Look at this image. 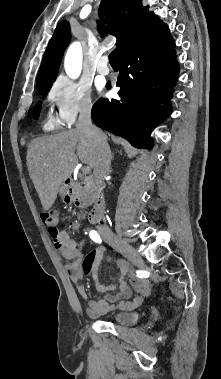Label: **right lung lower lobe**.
<instances>
[{
  "mask_svg": "<svg viewBox=\"0 0 221 379\" xmlns=\"http://www.w3.org/2000/svg\"><path fill=\"white\" fill-rule=\"evenodd\" d=\"M169 29L160 23L119 55L120 99H99L96 126L121 135L134 147L151 149V129L170 114L179 65ZM110 88V86H107ZM169 108H168V107Z\"/></svg>",
  "mask_w": 221,
  "mask_h": 379,
  "instance_id": "right-lung-lower-lobe-1",
  "label": "right lung lower lobe"
}]
</instances>
